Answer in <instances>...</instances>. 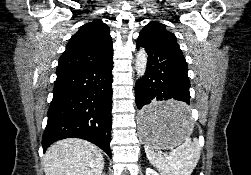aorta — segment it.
I'll return each instance as SVG.
<instances>
[{
  "label": "aorta",
  "mask_w": 251,
  "mask_h": 175,
  "mask_svg": "<svg viewBox=\"0 0 251 175\" xmlns=\"http://www.w3.org/2000/svg\"><path fill=\"white\" fill-rule=\"evenodd\" d=\"M147 68V54L143 48L139 50L136 54V60H135V70L138 78H143L145 76Z\"/></svg>",
  "instance_id": "aorta-1"
}]
</instances>
